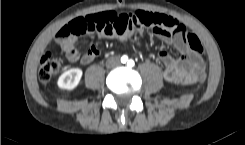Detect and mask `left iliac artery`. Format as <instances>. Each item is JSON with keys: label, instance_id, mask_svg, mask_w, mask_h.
<instances>
[{"label": "left iliac artery", "instance_id": "1", "mask_svg": "<svg viewBox=\"0 0 245 145\" xmlns=\"http://www.w3.org/2000/svg\"><path fill=\"white\" fill-rule=\"evenodd\" d=\"M134 64H135V63H134L133 60H129L128 63H127L128 67H133Z\"/></svg>", "mask_w": 245, "mask_h": 145}]
</instances>
